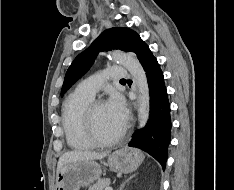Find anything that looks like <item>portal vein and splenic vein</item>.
Here are the masks:
<instances>
[{"instance_id": "portal-vein-and-splenic-vein-1", "label": "portal vein and splenic vein", "mask_w": 234, "mask_h": 190, "mask_svg": "<svg viewBox=\"0 0 234 190\" xmlns=\"http://www.w3.org/2000/svg\"><path fill=\"white\" fill-rule=\"evenodd\" d=\"M105 190H113V188L108 186L105 188Z\"/></svg>"}]
</instances>
